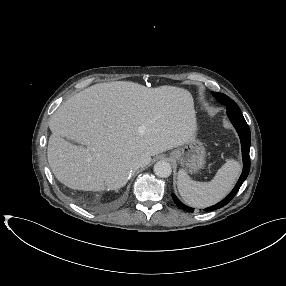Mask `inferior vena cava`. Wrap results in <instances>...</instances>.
<instances>
[{"instance_id":"602c4592","label":"inferior vena cava","mask_w":286,"mask_h":286,"mask_svg":"<svg viewBox=\"0 0 286 286\" xmlns=\"http://www.w3.org/2000/svg\"><path fill=\"white\" fill-rule=\"evenodd\" d=\"M140 166H141V164L137 162L134 164L133 169L139 168Z\"/></svg>"}]
</instances>
